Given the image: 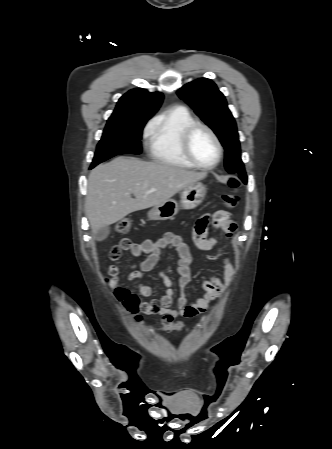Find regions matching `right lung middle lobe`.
Listing matches in <instances>:
<instances>
[{"label": "right lung middle lobe", "instance_id": "right-lung-middle-lobe-1", "mask_svg": "<svg viewBox=\"0 0 332 449\" xmlns=\"http://www.w3.org/2000/svg\"><path fill=\"white\" fill-rule=\"evenodd\" d=\"M150 117L108 119L90 169L119 154H140L142 130Z\"/></svg>", "mask_w": 332, "mask_h": 449}]
</instances>
